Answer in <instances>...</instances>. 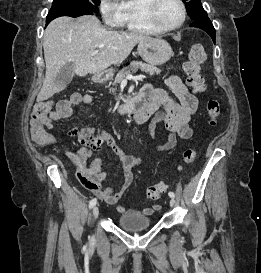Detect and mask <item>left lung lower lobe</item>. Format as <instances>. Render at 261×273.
<instances>
[{"mask_svg":"<svg viewBox=\"0 0 261 273\" xmlns=\"http://www.w3.org/2000/svg\"><path fill=\"white\" fill-rule=\"evenodd\" d=\"M190 26L197 27L206 31L211 36L213 42L215 43V29L207 15H204L194 20V22L191 23Z\"/></svg>","mask_w":261,"mask_h":273,"instance_id":"0a47b994","label":"left lung lower lobe"}]
</instances>
